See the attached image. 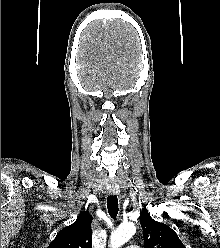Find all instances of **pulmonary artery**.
Returning <instances> with one entry per match:
<instances>
[{"label":"pulmonary artery","mask_w":220,"mask_h":248,"mask_svg":"<svg viewBox=\"0 0 220 248\" xmlns=\"http://www.w3.org/2000/svg\"><path fill=\"white\" fill-rule=\"evenodd\" d=\"M127 248H139L137 245H130Z\"/></svg>","instance_id":"1"}]
</instances>
